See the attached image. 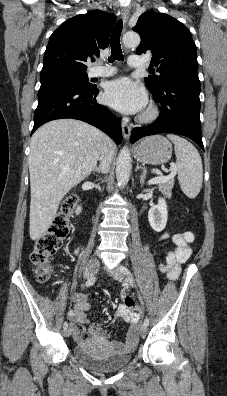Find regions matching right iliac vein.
<instances>
[{"mask_svg":"<svg viewBox=\"0 0 227 396\" xmlns=\"http://www.w3.org/2000/svg\"><path fill=\"white\" fill-rule=\"evenodd\" d=\"M98 267H99V264L96 260L89 261V263L87 264V266L84 270V274H83L84 277L87 279L92 278L97 273ZM71 333H72V325L67 327L64 330V336L69 337L71 335Z\"/></svg>","mask_w":227,"mask_h":396,"instance_id":"63e3f726","label":"right iliac vein"}]
</instances>
